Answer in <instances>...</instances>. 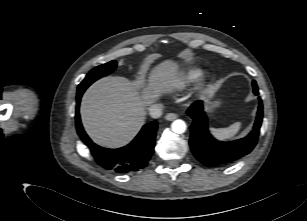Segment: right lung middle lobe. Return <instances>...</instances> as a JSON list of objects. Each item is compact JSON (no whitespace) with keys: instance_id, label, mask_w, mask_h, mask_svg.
<instances>
[{"instance_id":"dd1d6c3e","label":"right lung middle lobe","mask_w":307,"mask_h":221,"mask_svg":"<svg viewBox=\"0 0 307 221\" xmlns=\"http://www.w3.org/2000/svg\"><path fill=\"white\" fill-rule=\"evenodd\" d=\"M116 65V61H111L92 69L78 86L77 92H84L93 82L112 73L116 69Z\"/></svg>"}]
</instances>
